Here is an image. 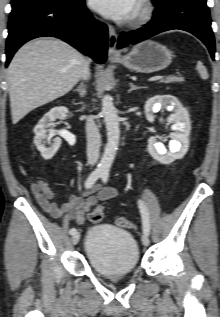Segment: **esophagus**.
<instances>
[{
	"label": "esophagus",
	"mask_w": 220,
	"mask_h": 317,
	"mask_svg": "<svg viewBox=\"0 0 220 317\" xmlns=\"http://www.w3.org/2000/svg\"><path fill=\"white\" fill-rule=\"evenodd\" d=\"M108 33V56L109 58H114L119 55L118 51L116 50L118 36L114 27L111 25H108Z\"/></svg>",
	"instance_id": "esophagus-1"
}]
</instances>
